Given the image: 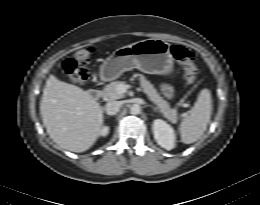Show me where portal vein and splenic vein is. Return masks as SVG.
Wrapping results in <instances>:
<instances>
[{"label": "portal vein and splenic vein", "instance_id": "obj_1", "mask_svg": "<svg viewBox=\"0 0 260 205\" xmlns=\"http://www.w3.org/2000/svg\"><path fill=\"white\" fill-rule=\"evenodd\" d=\"M129 88H130L129 85L121 84V85L118 86L117 90H118V92H119L120 94H123V93H125V92L127 91V89H129ZM183 116H185V115L183 114Z\"/></svg>", "mask_w": 260, "mask_h": 205}]
</instances>
